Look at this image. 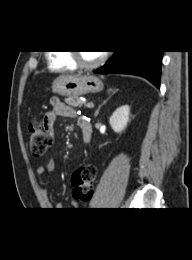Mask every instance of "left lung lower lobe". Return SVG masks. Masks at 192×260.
<instances>
[{
    "mask_svg": "<svg viewBox=\"0 0 192 260\" xmlns=\"http://www.w3.org/2000/svg\"><path fill=\"white\" fill-rule=\"evenodd\" d=\"M163 51H122L116 53L99 69L98 74H132L146 78L157 88L160 87L161 59Z\"/></svg>",
    "mask_w": 192,
    "mask_h": 260,
    "instance_id": "1",
    "label": "left lung lower lobe"
}]
</instances>
